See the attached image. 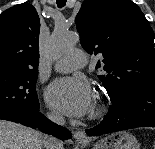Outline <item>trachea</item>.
Segmentation results:
<instances>
[{"mask_svg": "<svg viewBox=\"0 0 155 149\" xmlns=\"http://www.w3.org/2000/svg\"><path fill=\"white\" fill-rule=\"evenodd\" d=\"M56 3H57L59 8H62L65 6L66 0H56Z\"/></svg>", "mask_w": 155, "mask_h": 149, "instance_id": "1", "label": "trachea"}]
</instances>
